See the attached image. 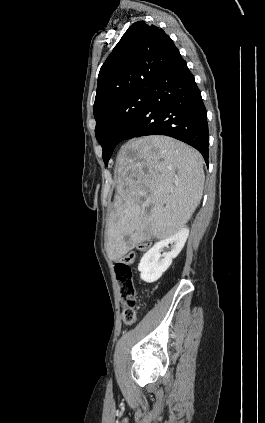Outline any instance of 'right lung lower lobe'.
Wrapping results in <instances>:
<instances>
[{
    "mask_svg": "<svg viewBox=\"0 0 265 423\" xmlns=\"http://www.w3.org/2000/svg\"><path fill=\"white\" fill-rule=\"evenodd\" d=\"M167 135L197 149L208 164L206 109L194 76L178 53L150 89L148 102L127 126L119 142Z\"/></svg>",
    "mask_w": 265,
    "mask_h": 423,
    "instance_id": "obj_1",
    "label": "right lung lower lobe"
}]
</instances>
